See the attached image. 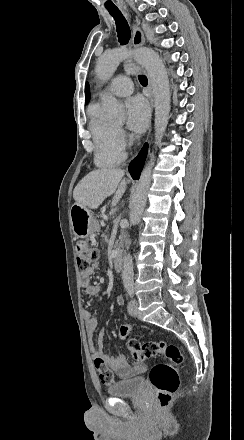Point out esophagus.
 <instances>
[{
  "label": "esophagus",
  "mask_w": 244,
  "mask_h": 440,
  "mask_svg": "<svg viewBox=\"0 0 244 440\" xmlns=\"http://www.w3.org/2000/svg\"><path fill=\"white\" fill-rule=\"evenodd\" d=\"M144 42H145V37H144V33L142 32L141 28L137 25H133L132 46L134 48L142 47V45H144ZM144 73H145V71H144ZM148 90H149V94L147 96L150 101V113H152L153 107H154V100H153V93H152V87H151L150 80H149ZM150 133H151V128L149 130V134Z\"/></svg>",
  "instance_id": "esophagus-1"
}]
</instances>
